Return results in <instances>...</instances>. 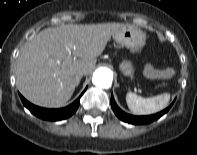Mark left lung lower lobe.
I'll use <instances>...</instances> for the list:
<instances>
[{"instance_id": "left-lung-lower-lobe-1", "label": "left lung lower lobe", "mask_w": 197, "mask_h": 155, "mask_svg": "<svg viewBox=\"0 0 197 155\" xmlns=\"http://www.w3.org/2000/svg\"><path fill=\"white\" fill-rule=\"evenodd\" d=\"M172 105H170L168 108H166L165 110L159 112V113H156V114H153V115H149V116H133V115H129L125 112H123L116 104L114 98H113V95L111 96V107L114 111V113L116 114V116L124 121V122H127V123H130V124H135V125H138V124H148V123H151L157 119H159L162 115H164L165 113L168 112V110L170 109Z\"/></svg>"}]
</instances>
